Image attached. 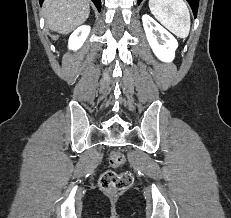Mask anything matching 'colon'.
I'll return each instance as SVG.
<instances>
[{
    "instance_id": "colon-1",
    "label": "colon",
    "mask_w": 231,
    "mask_h": 218,
    "mask_svg": "<svg viewBox=\"0 0 231 218\" xmlns=\"http://www.w3.org/2000/svg\"><path fill=\"white\" fill-rule=\"evenodd\" d=\"M108 162L112 168H117L124 164L125 157L121 152L114 150L110 152ZM132 182L133 177L129 172L118 174L112 170H108L101 175L99 186L104 192L115 194L128 188Z\"/></svg>"
}]
</instances>
